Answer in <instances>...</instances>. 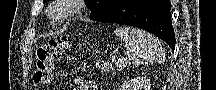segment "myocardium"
<instances>
[{
    "label": "myocardium",
    "instance_id": "myocardium-1",
    "mask_svg": "<svg viewBox=\"0 0 216 90\" xmlns=\"http://www.w3.org/2000/svg\"><path fill=\"white\" fill-rule=\"evenodd\" d=\"M70 3H90V0H54L49 12V20L53 24H62L78 14L84 8Z\"/></svg>",
    "mask_w": 216,
    "mask_h": 90
}]
</instances>
